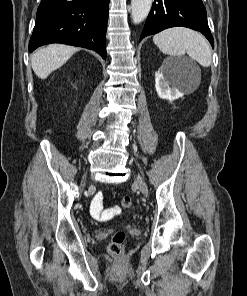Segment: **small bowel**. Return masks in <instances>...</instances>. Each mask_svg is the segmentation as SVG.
I'll use <instances>...</instances> for the list:
<instances>
[{"instance_id": "obj_1", "label": "small bowel", "mask_w": 247, "mask_h": 296, "mask_svg": "<svg viewBox=\"0 0 247 296\" xmlns=\"http://www.w3.org/2000/svg\"><path fill=\"white\" fill-rule=\"evenodd\" d=\"M96 210H98V212H96ZM106 213H108V210L104 211L102 209L101 197L97 196L94 199L93 204H92V214H93V216L96 219H106L104 217H100V215H105Z\"/></svg>"}]
</instances>
